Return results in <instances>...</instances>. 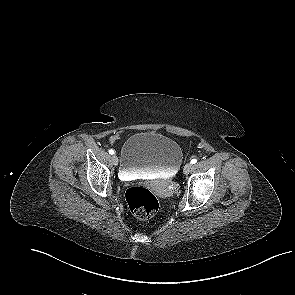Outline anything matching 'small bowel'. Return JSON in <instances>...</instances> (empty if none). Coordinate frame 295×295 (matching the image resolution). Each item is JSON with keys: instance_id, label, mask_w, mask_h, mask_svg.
Returning a JSON list of instances; mask_svg holds the SVG:
<instances>
[{"instance_id": "obj_1", "label": "small bowel", "mask_w": 295, "mask_h": 295, "mask_svg": "<svg viewBox=\"0 0 295 295\" xmlns=\"http://www.w3.org/2000/svg\"><path fill=\"white\" fill-rule=\"evenodd\" d=\"M117 136H118L117 134L111 136L110 141L114 142L117 139Z\"/></svg>"}]
</instances>
